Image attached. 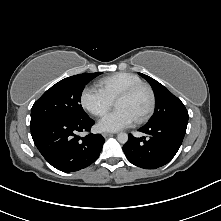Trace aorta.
Segmentation results:
<instances>
[{"instance_id": "762f6f07", "label": "aorta", "mask_w": 221, "mask_h": 221, "mask_svg": "<svg viewBox=\"0 0 221 221\" xmlns=\"http://www.w3.org/2000/svg\"><path fill=\"white\" fill-rule=\"evenodd\" d=\"M117 140L121 144H125L128 141V135L124 132H121L117 135Z\"/></svg>"}]
</instances>
